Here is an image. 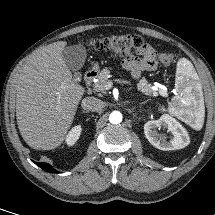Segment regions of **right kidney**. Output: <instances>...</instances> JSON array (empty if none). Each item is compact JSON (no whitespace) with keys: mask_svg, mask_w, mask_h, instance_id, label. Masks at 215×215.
Segmentation results:
<instances>
[{"mask_svg":"<svg viewBox=\"0 0 215 215\" xmlns=\"http://www.w3.org/2000/svg\"><path fill=\"white\" fill-rule=\"evenodd\" d=\"M81 131V125H77L71 129V131L66 136V143L68 146H72L76 143V141L79 139Z\"/></svg>","mask_w":215,"mask_h":215,"instance_id":"obj_1","label":"right kidney"}]
</instances>
